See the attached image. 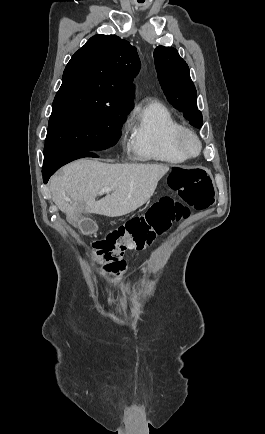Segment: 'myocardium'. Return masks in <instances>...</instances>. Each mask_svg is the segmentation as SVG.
I'll return each instance as SVG.
<instances>
[{"instance_id": "f54148a6", "label": "myocardium", "mask_w": 265, "mask_h": 434, "mask_svg": "<svg viewBox=\"0 0 265 434\" xmlns=\"http://www.w3.org/2000/svg\"><path fill=\"white\" fill-rule=\"evenodd\" d=\"M187 140H193L198 150L195 154H190L185 149V143ZM176 147L179 152V154L185 159V160H193L198 157H200L203 153L204 144L200 137L191 129L184 128L180 132V134L176 137Z\"/></svg>"}]
</instances>
